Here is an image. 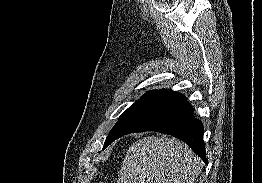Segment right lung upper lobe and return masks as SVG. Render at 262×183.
<instances>
[{
  "instance_id": "1",
  "label": "right lung upper lobe",
  "mask_w": 262,
  "mask_h": 183,
  "mask_svg": "<svg viewBox=\"0 0 262 183\" xmlns=\"http://www.w3.org/2000/svg\"><path fill=\"white\" fill-rule=\"evenodd\" d=\"M158 91H160V90H150L148 92H158Z\"/></svg>"
}]
</instances>
